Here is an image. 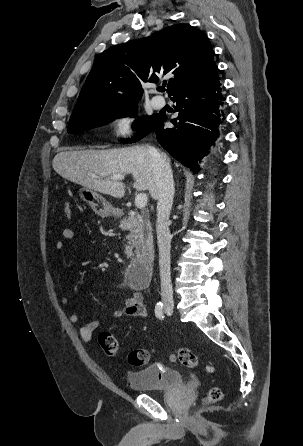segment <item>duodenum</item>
<instances>
[{
  "mask_svg": "<svg viewBox=\"0 0 303 446\" xmlns=\"http://www.w3.org/2000/svg\"><path fill=\"white\" fill-rule=\"evenodd\" d=\"M153 270V262L150 257L136 258L131 261L127 270V280L133 288L142 289L146 287Z\"/></svg>",
  "mask_w": 303,
  "mask_h": 446,
  "instance_id": "duodenum-1",
  "label": "duodenum"
}]
</instances>
